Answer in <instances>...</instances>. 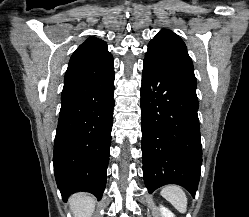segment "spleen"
Masks as SVG:
<instances>
[{
	"mask_svg": "<svg viewBox=\"0 0 249 217\" xmlns=\"http://www.w3.org/2000/svg\"><path fill=\"white\" fill-rule=\"evenodd\" d=\"M160 194L169 201L179 212L185 213L187 208V197L184 190L177 185L165 186Z\"/></svg>",
	"mask_w": 249,
	"mask_h": 217,
	"instance_id": "1",
	"label": "spleen"
}]
</instances>
